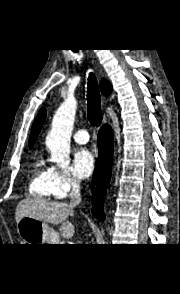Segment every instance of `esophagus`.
I'll return each mask as SVG.
<instances>
[{"label": "esophagus", "mask_w": 180, "mask_h": 294, "mask_svg": "<svg viewBox=\"0 0 180 294\" xmlns=\"http://www.w3.org/2000/svg\"><path fill=\"white\" fill-rule=\"evenodd\" d=\"M104 122H106V115L104 114Z\"/></svg>", "instance_id": "esophagus-1"}]
</instances>
